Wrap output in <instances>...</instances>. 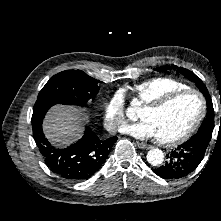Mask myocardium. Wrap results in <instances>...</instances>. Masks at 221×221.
Returning <instances> with one entry per match:
<instances>
[{"instance_id": "myocardium-1", "label": "myocardium", "mask_w": 221, "mask_h": 221, "mask_svg": "<svg viewBox=\"0 0 221 221\" xmlns=\"http://www.w3.org/2000/svg\"><path fill=\"white\" fill-rule=\"evenodd\" d=\"M192 94L195 95L200 103V109L197 117L192 122V124L180 135L171 138V139H159L156 138L157 143L165 145V146H176L179 145L186 140H188L192 134L198 129L201 122L203 121L205 114H206V101L202 93H200L198 90L192 89V88H185L180 90H175L172 92H169L162 97L158 98L157 100L147 103L143 105V109H147L150 111H159L165 108L167 105H169L171 102H173L175 99H177L180 96Z\"/></svg>"}]
</instances>
